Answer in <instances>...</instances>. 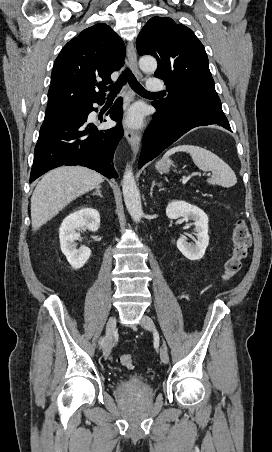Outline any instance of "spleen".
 <instances>
[{"instance_id": "spleen-1", "label": "spleen", "mask_w": 272, "mask_h": 452, "mask_svg": "<svg viewBox=\"0 0 272 452\" xmlns=\"http://www.w3.org/2000/svg\"><path fill=\"white\" fill-rule=\"evenodd\" d=\"M176 152H186L192 157L194 164L203 171H211L212 177L207 180L209 184L231 187L237 183L234 171L220 157L205 148L194 145H179L169 149L163 156L168 158Z\"/></svg>"}]
</instances>
